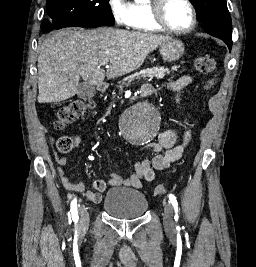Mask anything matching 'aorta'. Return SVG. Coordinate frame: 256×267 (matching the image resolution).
<instances>
[{
    "label": "aorta",
    "instance_id": "obj_1",
    "mask_svg": "<svg viewBox=\"0 0 256 267\" xmlns=\"http://www.w3.org/2000/svg\"><path fill=\"white\" fill-rule=\"evenodd\" d=\"M134 107L128 109L127 117H120L122 127H158V108H152L149 101H136ZM122 133L127 143H150V138H157L159 128H122Z\"/></svg>",
    "mask_w": 256,
    "mask_h": 267
}]
</instances>
